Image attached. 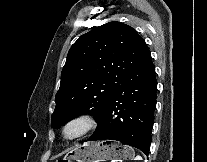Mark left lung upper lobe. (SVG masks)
I'll return each instance as SVG.
<instances>
[{
	"mask_svg": "<svg viewBox=\"0 0 207 162\" xmlns=\"http://www.w3.org/2000/svg\"><path fill=\"white\" fill-rule=\"evenodd\" d=\"M148 52L136 30L121 22L82 35L70 48L61 73L52 127L81 114L98 120L116 89Z\"/></svg>",
	"mask_w": 207,
	"mask_h": 162,
	"instance_id": "1",
	"label": "left lung upper lobe"
}]
</instances>
